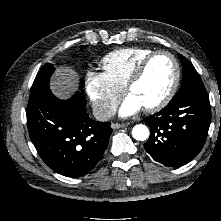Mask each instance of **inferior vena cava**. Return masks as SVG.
Segmentation results:
<instances>
[{"instance_id": "1", "label": "inferior vena cava", "mask_w": 221, "mask_h": 221, "mask_svg": "<svg viewBox=\"0 0 221 221\" xmlns=\"http://www.w3.org/2000/svg\"><path fill=\"white\" fill-rule=\"evenodd\" d=\"M114 114V110L109 109L105 104H97L93 106V115L98 121H107Z\"/></svg>"}]
</instances>
